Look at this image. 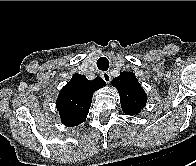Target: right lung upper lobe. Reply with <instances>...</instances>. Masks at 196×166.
Listing matches in <instances>:
<instances>
[{"label":"right lung upper lobe","mask_w":196,"mask_h":166,"mask_svg":"<svg viewBox=\"0 0 196 166\" xmlns=\"http://www.w3.org/2000/svg\"><path fill=\"white\" fill-rule=\"evenodd\" d=\"M105 84L100 77L90 81L85 75L74 74L61 89L56 101L62 123L66 126H77L84 122L89 113L93 93Z\"/></svg>","instance_id":"obj_1"}]
</instances>
